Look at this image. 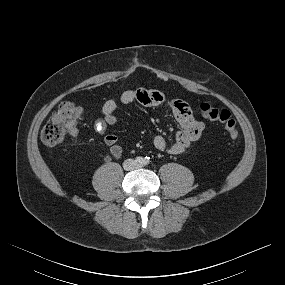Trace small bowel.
Here are the masks:
<instances>
[{
    "mask_svg": "<svg viewBox=\"0 0 285 285\" xmlns=\"http://www.w3.org/2000/svg\"><path fill=\"white\" fill-rule=\"evenodd\" d=\"M133 102H138L148 107L167 108L173 113L179 125L173 140L169 141L162 135H155L152 139L154 147L160 151H165L172 155L181 154L202 135L204 123L196 118L187 103L179 100H166L161 92L155 90L145 88L126 90L118 97L110 98L103 104V117L98 119L94 125L96 133L104 137V142L110 147L111 155L115 159L121 158L123 149L118 137L114 134H107V129L108 126L115 125L118 122V118L115 116L118 104L128 105ZM71 136L76 140L77 131L73 132Z\"/></svg>",
    "mask_w": 285,
    "mask_h": 285,
    "instance_id": "1",
    "label": "small bowel"
}]
</instances>
